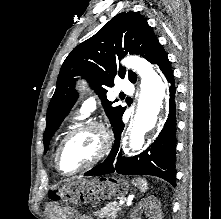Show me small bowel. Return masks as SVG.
<instances>
[{
	"label": "small bowel",
	"mask_w": 221,
	"mask_h": 219,
	"mask_svg": "<svg viewBox=\"0 0 221 219\" xmlns=\"http://www.w3.org/2000/svg\"><path fill=\"white\" fill-rule=\"evenodd\" d=\"M76 219H92V218L85 215H77Z\"/></svg>",
	"instance_id": "small-bowel-1"
}]
</instances>
